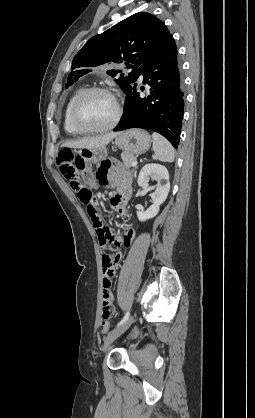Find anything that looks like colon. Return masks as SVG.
Masks as SVG:
<instances>
[{"instance_id":"5ec220e1","label":"colon","mask_w":255,"mask_h":418,"mask_svg":"<svg viewBox=\"0 0 255 418\" xmlns=\"http://www.w3.org/2000/svg\"><path fill=\"white\" fill-rule=\"evenodd\" d=\"M57 165L63 177L69 181L71 188L77 192L81 202L87 206V212L92 220L96 232L98 227H105L98 216L97 197L94 195L92 190L85 186L82 182V180L85 182L93 181L92 170L85 165L82 159L76 158L70 149H62L59 152ZM108 329L109 323L107 320H103L101 323L102 333H106Z\"/></svg>"}]
</instances>
